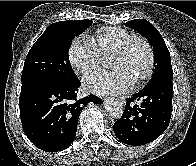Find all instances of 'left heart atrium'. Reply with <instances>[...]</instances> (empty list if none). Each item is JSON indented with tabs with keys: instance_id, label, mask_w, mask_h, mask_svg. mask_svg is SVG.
<instances>
[{
	"instance_id": "1",
	"label": "left heart atrium",
	"mask_w": 196,
	"mask_h": 166,
	"mask_svg": "<svg viewBox=\"0 0 196 166\" xmlns=\"http://www.w3.org/2000/svg\"><path fill=\"white\" fill-rule=\"evenodd\" d=\"M83 84L88 91L96 94L122 93L132 88L134 80L121 68L98 69L88 73Z\"/></svg>"
}]
</instances>
